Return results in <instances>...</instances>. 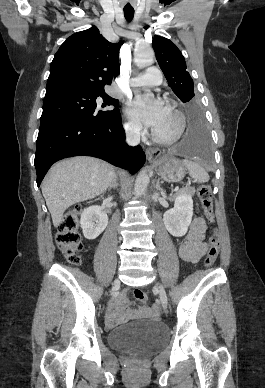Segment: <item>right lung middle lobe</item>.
I'll list each match as a JSON object with an SVG mask.
<instances>
[{
	"instance_id": "obj_1",
	"label": "right lung middle lobe",
	"mask_w": 265,
	"mask_h": 388,
	"mask_svg": "<svg viewBox=\"0 0 265 388\" xmlns=\"http://www.w3.org/2000/svg\"><path fill=\"white\" fill-rule=\"evenodd\" d=\"M102 97L103 103L97 101ZM119 101L108 96L105 91L100 92H62L45 96L43 113L40 124L61 119H92L105 123L117 118L120 111ZM113 105V110L104 109Z\"/></svg>"
}]
</instances>
